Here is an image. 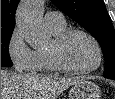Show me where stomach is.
<instances>
[{"instance_id": "stomach-1", "label": "stomach", "mask_w": 115, "mask_h": 99, "mask_svg": "<svg viewBox=\"0 0 115 99\" xmlns=\"http://www.w3.org/2000/svg\"><path fill=\"white\" fill-rule=\"evenodd\" d=\"M101 90L92 81L82 79L72 85L69 90V99H100Z\"/></svg>"}]
</instances>
